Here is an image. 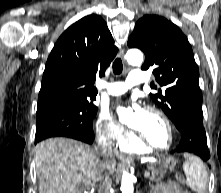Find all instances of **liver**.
I'll return each instance as SVG.
<instances>
[{
    "label": "liver",
    "mask_w": 221,
    "mask_h": 193,
    "mask_svg": "<svg viewBox=\"0 0 221 193\" xmlns=\"http://www.w3.org/2000/svg\"><path fill=\"white\" fill-rule=\"evenodd\" d=\"M116 154L67 138H50L36 147L39 193H82L116 167Z\"/></svg>",
    "instance_id": "obj_1"
}]
</instances>
